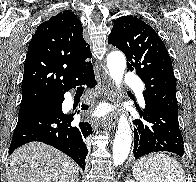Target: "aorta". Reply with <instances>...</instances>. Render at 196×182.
Segmentation results:
<instances>
[{
	"instance_id": "aorta-1",
	"label": "aorta",
	"mask_w": 196,
	"mask_h": 182,
	"mask_svg": "<svg viewBox=\"0 0 196 182\" xmlns=\"http://www.w3.org/2000/svg\"><path fill=\"white\" fill-rule=\"evenodd\" d=\"M107 67L110 77L118 88H120L126 69L125 56L119 51H113L107 56ZM132 143V131L127 117L122 114L119 118L113 144V163L115 166L122 165L127 159Z\"/></svg>"
}]
</instances>
